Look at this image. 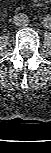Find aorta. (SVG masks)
<instances>
[{
    "label": "aorta",
    "mask_w": 51,
    "mask_h": 153,
    "mask_svg": "<svg viewBox=\"0 0 51 153\" xmlns=\"http://www.w3.org/2000/svg\"><path fill=\"white\" fill-rule=\"evenodd\" d=\"M42 27L44 29H50L51 28V18L49 16H46L42 22Z\"/></svg>",
    "instance_id": "1"
}]
</instances>
